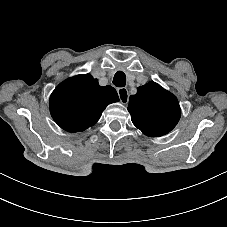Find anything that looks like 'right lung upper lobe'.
<instances>
[{"instance_id": "obj_1", "label": "right lung upper lobe", "mask_w": 227, "mask_h": 227, "mask_svg": "<svg viewBox=\"0 0 227 227\" xmlns=\"http://www.w3.org/2000/svg\"><path fill=\"white\" fill-rule=\"evenodd\" d=\"M119 101L115 88L99 86L90 74L77 75L60 83L50 97L55 122L68 132L94 125L110 103Z\"/></svg>"}]
</instances>
